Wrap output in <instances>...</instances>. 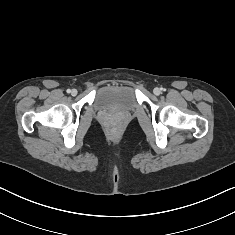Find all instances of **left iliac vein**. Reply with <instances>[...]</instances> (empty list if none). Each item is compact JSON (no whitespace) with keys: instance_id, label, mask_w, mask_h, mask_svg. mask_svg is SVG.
Instances as JSON below:
<instances>
[{"instance_id":"obj_1","label":"left iliac vein","mask_w":235,"mask_h":235,"mask_svg":"<svg viewBox=\"0 0 235 235\" xmlns=\"http://www.w3.org/2000/svg\"><path fill=\"white\" fill-rule=\"evenodd\" d=\"M153 92H154L155 95H159V94L161 93V91H160L159 88H155V89L153 90Z\"/></svg>"}]
</instances>
